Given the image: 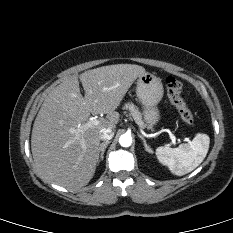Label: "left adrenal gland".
<instances>
[{"instance_id": "1", "label": "left adrenal gland", "mask_w": 233, "mask_h": 233, "mask_svg": "<svg viewBox=\"0 0 233 233\" xmlns=\"http://www.w3.org/2000/svg\"><path fill=\"white\" fill-rule=\"evenodd\" d=\"M138 136H139V137L141 138V140L143 141L145 150H146L147 152L151 153L152 150H151V148L148 146V144H147L145 138H144L142 135H140V134H138Z\"/></svg>"}]
</instances>
